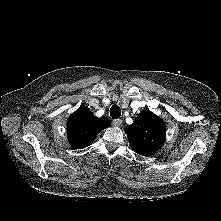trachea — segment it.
Instances as JSON below:
<instances>
[{
	"instance_id": "obj_1",
	"label": "trachea",
	"mask_w": 221,
	"mask_h": 221,
	"mask_svg": "<svg viewBox=\"0 0 221 221\" xmlns=\"http://www.w3.org/2000/svg\"><path fill=\"white\" fill-rule=\"evenodd\" d=\"M110 115L112 118L114 119H118L121 115V109L118 105H113L111 108H110Z\"/></svg>"
}]
</instances>
